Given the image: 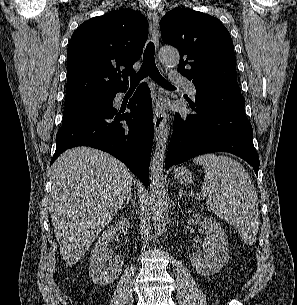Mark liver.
Wrapping results in <instances>:
<instances>
[{"label":"liver","instance_id":"6515ba94","mask_svg":"<svg viewBox=\"0 0 297 305\" xmlns=\"http://www.w3.org/2000/svg\"><path fill=\"white\" fill-rule=\"evenodd\" d=\"M51 176L52 225L63 260L73 265L123 205L132 173L105 152L76 147L57 158Z\"/></svg>","mask_w":297,"mask_h":305}]
</instances>
